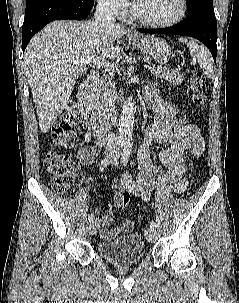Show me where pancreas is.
<instances>
[{
  "label": "pancreas",
  "instance_id": "cf45deb5",
  "mask_svg": "<svg viewBox=\"0 0 239 303\" xmlns=\"http://www.w3.org/2000/svg\"><path fill=\"white\" fill-rule=\"evenodd\" d=\"M163 69L160 72H156L155 75L159 78H163L164 80L173 83V84H181L183 82V74L175 69H168L165 67H157ZM115 83H112V77L109 78L107 83L103 81L100 83V86L97 90V109L99 111L108 110L112 103L115 101Z\"/></svg>",
  "mask_w": 239,
  "mask_h": 303
}]
</instances>
